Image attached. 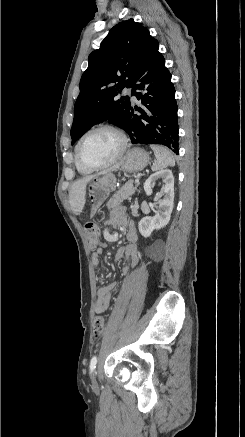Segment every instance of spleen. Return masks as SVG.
<instances>
[{"mask_svg":"<svg viewBox=\"0 0 245 437\" xmlns=\"http://www.w3.org/2000/svg\"><path fill=\"white\" fill-rule=\"evenodd\" d=\"M150 147L156 157L152 165V171L162 170L168 166L175 165V157L168 148L160 145H151Z\"/></svg>","mask_w":245,"mask_h":437,"instance_id":"obj_1","label":"spleen"}]
</instances>
